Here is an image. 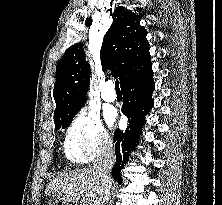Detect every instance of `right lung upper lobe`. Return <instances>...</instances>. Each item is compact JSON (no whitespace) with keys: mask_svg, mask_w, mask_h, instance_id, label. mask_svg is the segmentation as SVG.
Listing matches in <instances>:
<instances>
[{"mask_svg":"<svg viewBox=\"0 0 222 205\" xmlns=\"http://www.w3.org/2000/svg\"><path fill=\"white\" fill-rule=\"evenodd\" d=\"M111 16L112 24L104 36L100 58L102 70H111L121 85L151 66L149 44L140 15L119 6L111 11ZM56 78L54 121L76 115L86 102L90 66L84 59L82 43L66 50L57 65Z\"/></svg>","mask_w":222,"mask_h":205,"instance_id":"1","label":"right lung upper lobe"}]
</instances>
